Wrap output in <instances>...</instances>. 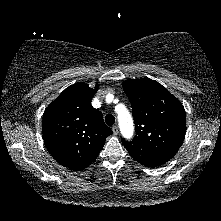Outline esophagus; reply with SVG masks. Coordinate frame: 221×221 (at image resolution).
<instances>
[{"label":"esophagus","instance_id":"esophagus-1","mask_svg":"<svg viewBox=\"0 0 221 221\" xmlns=\"http://www.w3.org/2000/svg\"><path fill=\"white\" fill-rule=\"evenodd\" d=\"M112 131H113V133H114L115 135H117V134L119 133V128H118V126H117V125L113 126V127H112Z\"/></svg>","mask_w":221,"mask_h":221}]
</instances>
